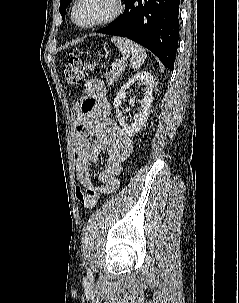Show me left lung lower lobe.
<instances>
[{"instance_id":"left-lung-lower-lobe-1","label":"left lung lower lobe","mask_w":239,"mask_h":303,"mask_svg":"<svg viewBox=\"0 0 239 303\" xmlns=\"http://www.w3.org/2000/svg\"><path fill=\"white\" fill-rule=\"evenodd\" d=\"M123 15L97 33L127 37L174 69L179 38L180 0H124Z\"/></svg>"}]
</instances>
